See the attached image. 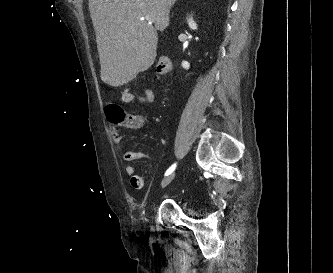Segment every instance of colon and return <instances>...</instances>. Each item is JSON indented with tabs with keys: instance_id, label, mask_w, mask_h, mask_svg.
Listing matches in <instances>:
<instances>
[{
	"instance_id": "5ec220e1",
	"label": "colon",
	"mask_w": 333,
	"mask_h": 273,
	"mask_svg": "<svg viewBox=\"0 0 333 273\" xmlns=\"http://www.w3.org/2000/svg\"><path fill=\"white\" fill-rule=\"evenodd\" d=\"M171 71V61L166 56H160L156 64V72L159 77L168 75ZM130 92L125 90L124 93ZM106 113L110 120L115 125L127 123L128 117L125 116L120 106L117 104H110L106 107Z\"/></svg>"
}]
</instances>
